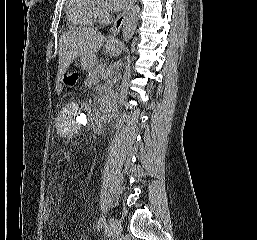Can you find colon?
Returning a JSON list of instances; mask_svg holds the SVG:
<instances>
[{
	"mask_svg": "<svg viewBox=\"0 0 257 240\" xmlns=\"http://www.w3.org/2000/svg\"><path fill=\"white\" fill-rule=\"evenodd\" d=\"M79 80V73L76 69H70L64 75V85L68 88H75ZM42 216L44 223H47L50 220L52 214V201L51 199L47 198L44 201L43 208H42Z\"/></svg>",
	"mask_w": 257,
	"mask_h": 240,
	"instance_id": "colon-1",
	"label": "colon"
}]
</instances>
